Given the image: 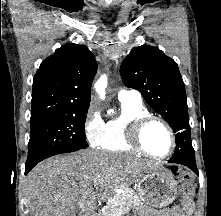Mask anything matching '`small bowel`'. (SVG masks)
Returning a JSON list of instances; mask_svg holds the SVG:
<instances>
[{"label": "small bowel", "mask_w": 221, "mask_h": 216, "mask_svg": "<svg viewBox=\"0 0 221 216\" xmlns=\"http://www.w3.org/2000/svg\"><path fill=\"white\" fill-rule=\"evenodd\" d=\"M193 213V204L182 203V206H175L170 209L163 210L159 216H191Z\"/></svg>", "instance_id": "small-bowel-1"}]
</instances>
